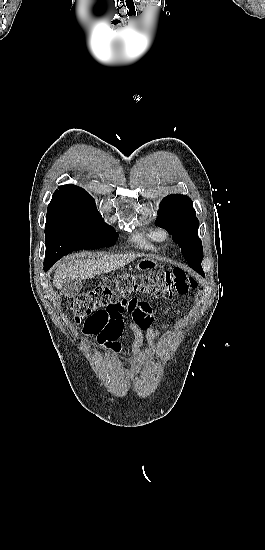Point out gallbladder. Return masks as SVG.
Returning a JSON list of instances; mask_svg holds the SVG:
<instances>
[{
    "label": "gallbladder",
    "instance_id": "obj_1",
    "mask_svg": "<svg viewBox=\"0 0 265 550\" xmlns=\"http://www.w3.org/2000/svg\"><path fill=\"white\" fill-rule=\"evenodd\" d=\"M62 287H63L62 291L64 295L69 298H73L79 294L82 284L78 281L77 282L70 281L65 283Z\"/></svg>",
    "mask_w": 265,
    "mask_h": 550
}]
</instances>
